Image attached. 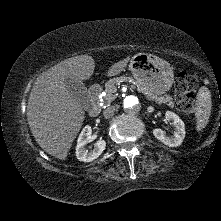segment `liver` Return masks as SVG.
<instances>
[{"label": "liver", "mask_w": 221, "mask_h": 221, "mask_svg": "<svg viewBox=\"0 0 221 221\" xmlns=\"http://www.w3.org/2000/svg\"><path fill=\"white\" fill-rule=\"evenodd\" d=\"M130 57L113 64L107 76L121 73ZM95 69L94 59L80 55L66 59L37 78L27 103V120L39 146L51 156L65 160L79 133L85 112L66 89L67 78L84 81Z\"/></svg>", "instance_id": "1"}]
</instances>
